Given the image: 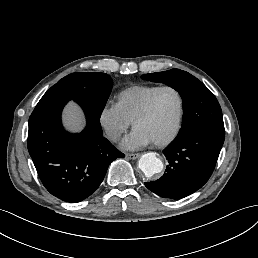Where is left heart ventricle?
Wrapping results in <instances>:
<instances>
[{"instance_id":"left-heart-ventricle-1","label":"left heart ventricle","mask_w":258,"mask_h":258,"mask_svg":"<svg viewBox=\"0 0 258 258\" xmlns=\"http://www.w3.org/2000/svg\"><path fill=\"white\" fill-rule=\"evenodd\" d=\"M178 98L172 90L159 92L152 104L149 117L142 123V130L156 138L168 137L176 124Z\"/></svg>"}]
</instances>
